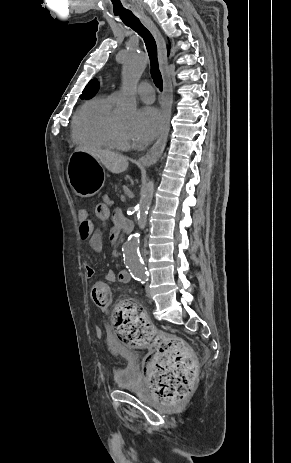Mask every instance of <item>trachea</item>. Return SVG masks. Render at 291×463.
I'll use <instances>...</instances> for the list:
<instances>
[{"mask_svg": "<svg viewBox=\"0 0 291 463\" xmlns=\"http://www.w3.org/2000/svg\"><path fill=\"white\" fill-rule=\"evenodd\" d=\"M125 25L132 28L143 38L150 58L152 78L155 85L162 90L163 80L159 70L157 45L153 35L140 21L125 23Z\"/></svg>", "mask_w": 291, "mask_h": 463, "instance_id": "3493384b", "label": "trachea"}]
</instances>
